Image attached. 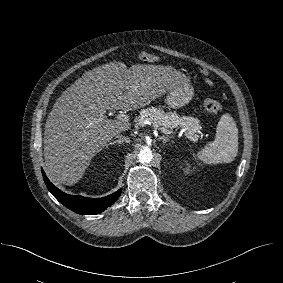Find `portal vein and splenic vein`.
Here are the masks:
<instances>
[{
	"label": "portal vein and splenic vein",
	"instance_id": "portal-vein-and-splenic-vein-1",
	"mask_svg": "<svg viewBox=\"0 0 283 283\" xmlns=\"http://www.w3.org/2000/svg\"><path fill=\"white\" fill-rule=\"evenodd\" d=\"M103 117V114H101L100 115V118H102ZM116 119L117 120H120V121H122V122H129V117L126 115V114H123V113H120V114H118L117 116H116ZM160 129V131L162 132V133H165V134H168V131L166 130V129H164V128H159ZM190 140H193V141H196L197 140V138H194V137H191V136H187Z\"/></svg>",
	"mask_w": 283,
	"mask_h": 283
}]
</instances>
